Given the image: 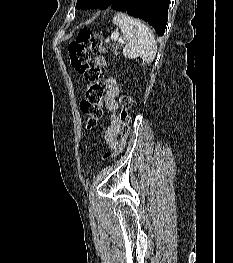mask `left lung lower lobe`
I'll return each instance as SVG.
<instances>
[{
	"label": "left lung lower lobe",
	"instance_id": "0a47b994",
	"mask_svg": "<svg viewBox=\"0 0 233 263\" xmlns=\"http://www.w3.org/2000/svg\"><path fill=\"white\" fill-rule=\"evenodd\" d=\"M170 0H115L110 6L147 21L162 36L168 20Z\"/></svg>",
	"mask_w": 233,
	"mask_h": 263
}]
</instances>
